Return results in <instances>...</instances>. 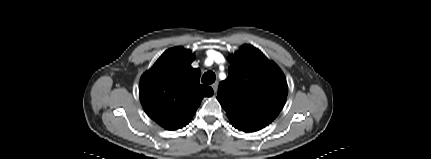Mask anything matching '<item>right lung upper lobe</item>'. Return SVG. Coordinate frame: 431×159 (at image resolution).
<instances>
[{"label":"right lung upper lobe","mask_w":431,"mask_h":159,"mask_svg":"<svg viewBox=\"0 0 431 159\" xmlns=\"http://www.w3.org/2000/svg\"><path fill=\"white\" fill-rule=\"evenodd\" d=\"M191 51L174 47L165 51L141 78L139 95L147 115L168 130L186 126L211 87L199 82L200 70L191 67Z\"/></svg>","instance_id":"1"}]
</instances>
